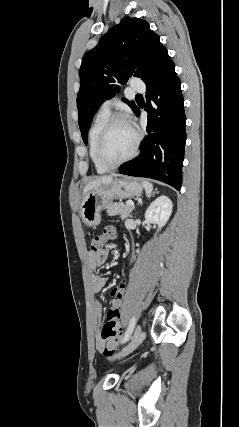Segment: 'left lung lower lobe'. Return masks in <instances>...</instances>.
<instances>
[{"label":"left lung lower lobe","mask_w":239,"mask_h":427,"mask_svg":"<svg viewBox=\"0 0 239 427\" xmlns=\"http://www.w3.org/2000/svg\"><path fill=\"white\" fill-rule=\"evenodd\" d=\"M148 135L140 155L121 165L119 173L148 177L181 188L186 117L181 83L170 61L146 84ZM140 114L139 109L135 113Z\"/></svg>","instance_id":"left-lung-lower-lobe-1"}]
</instances>
